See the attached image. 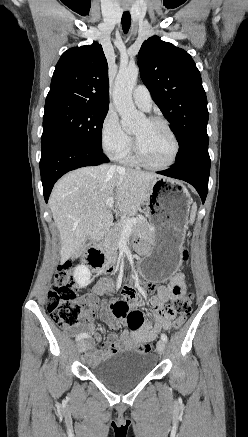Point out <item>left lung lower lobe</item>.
Here are the masks:
<instances>
[{"instance_id": "0a47b994", "label": "left lung lower lobe", "mask_w": 248, "mask_h": 437, "mask_svg": "<svg viewBox=\"0 0 248 437\" xmlns=\"http://www.w3.org/2000/svg\"><path fill=\"white\" fill-rule=\"evenodd\" d=\"M210 163L207 136L201 138L182 157L176 159L171 168L157 173L190 183L198 191L204 203L208 192Z\"/></svg>"}]
</instances>
